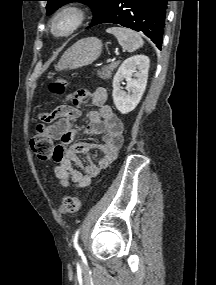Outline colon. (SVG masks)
<instances>
[{"label":"colon","mask_w":216,"mask_h":285,"mask_svg":"<svg viewBox=\"0 0 216 285\" xmlns=\"http://www.w3.org/2000/svg\"><path fill=\"white\" fill-rule=\"evenodd\" d=\"M65 89V81L58 79L49 86L53 95H61ZM31 149L34 154L42 161L54 158L55 149L52 138L47 133H37L31 139ZM81 197L79 195L67 196L60 204L59 210L62 214H72L79 210Z\"/></svg>","instance_id":"1"}]
</instances>
